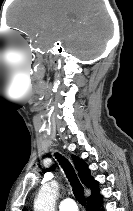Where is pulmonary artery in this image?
<instances>
[{"label": "pulmonary artery", "mask_w": 133, "mask_h": 211, "mask_svg": "<svg viewBox=\"0 0 133 211\" xmlns=\"http://www.w3.org/2000/svg\"><path fill=\"white\" fill-rule=\"evenodd\" d=\"M60 211H78L77 205L72 198H65L59 203Z\"/></svg>", "instance_id": "pulmonary-artery-1"}]
</instances>
